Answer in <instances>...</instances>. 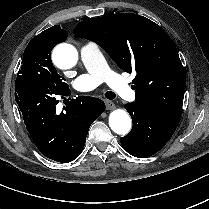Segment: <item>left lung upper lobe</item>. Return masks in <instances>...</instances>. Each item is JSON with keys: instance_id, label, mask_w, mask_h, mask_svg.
Segmentation results:
<instances>
[{"instance_id": "left-lung-upper-lobe-1", "label": "left lung upper lobe", "mask_w": 209, "mask_h": 209, "mask_svg": "<svg viewBox=\"0 0 209 209\" xmlns=\"http://www.w3.org/2000/svg\"><path fill=\"white\" fill-rule=\"evenodd\" d=\"M74 35L97 43L125 72H136V103L181 116L185 72L175 44L159 25L137 14L117 13L80 22Z\"/></svg>"}]
</instances>
